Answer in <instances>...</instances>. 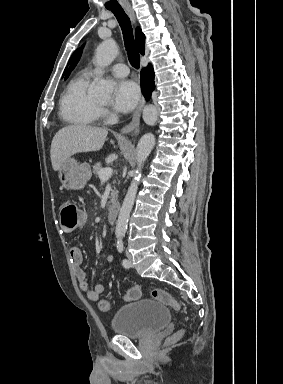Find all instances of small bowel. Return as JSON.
Masks as SVG:
<instances>
[{"label": "small bowel", "instance_id": "c3829d8e", "mask_svg": "<svg viewBox=\"0 0 283 384\" xmlns=\"http://www.w3.org/2000/svg\"><path fill=\"white\" fill-rule=\"evenodd\" d=\"M69 256H70L71 263L74 267V273H75L77 282L80 286V289L84 292L86 298L90 301L99 300L101 293L104 291V285L97 284L93 288L89 287V284L86 278V273L81 268V264L83 262V254L81 249L79 247L70 248ZM106 261L108 263H113L114 262L113 255H108L106 257Z\"/></svg>", "mask_w": 283, "mask_h": 384}]
</instances>
